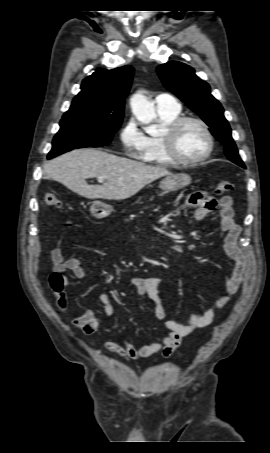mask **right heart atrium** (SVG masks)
Returning a JSON list of instances; mask_svg holds the SVG:
<instances>
[{"mask_svg":"<svg viewBox=\"0 0 270 453\" xmlns=\"http://www.w3.org/2000/svg\"><path fill=\"white\" fill-rule=\"evenodd\" d=\"M119 137L125 154L130 157H139L146 147L147 136L133 117L123 125Z\"/></svg>","mask_w":270,"mask_h":453,"instance_id":"d8ad5b80","label":"right heart atrium"}]
</instances>
